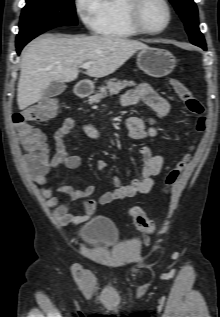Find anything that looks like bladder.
I'll list each match as a JSON object with an SVG mask.
<instances>
[{"label":"bladder","instance_id":"31cf9c89","mask_svg":"<svg viewBox=\"0 0 220 317\" xmlns=\"http://www.w3.org/2000/svg\"><path fill=\"white\" fill-rule=\"evenodd\" d=\"M78 239L90 247L115 244L119 240V231L108 218L96 216L87 221L78 230Z\"/></svg>","mask_w":220,"mask_h":317}]
</instances>
